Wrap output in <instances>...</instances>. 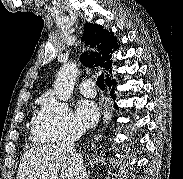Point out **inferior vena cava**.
<instances>
[{
	"mask_svg": "<svg viewBox=\"0 0 183 179\" xmlns=\"http://www.w3.org/2000/svg\"><path fill=\"white\" fill-rule=\"evenodd\" d=\"M83 130L80 128L71 129L63 140L58 144L59 147L72 156L74 165L73 179H86L85 167L82 157L74 149L75 142L82 136Z\"/></svg>",
	"mask_w": 183,
	"mask_h": 179,
	"instance_id": "obj_1",
	"label": "inferior vena cava"
}]
</instances>
